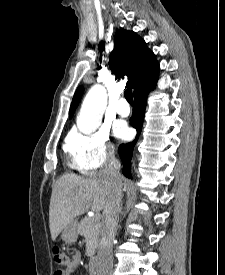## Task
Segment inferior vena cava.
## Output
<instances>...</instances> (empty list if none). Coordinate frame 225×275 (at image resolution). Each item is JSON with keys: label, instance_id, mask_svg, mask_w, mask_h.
<instances>
[{"label": "inferior vena cava", "instance_id": "1", "mask_svg": "<svg viewBox=\"0 0 225 275\" xmlns=\"http://www.w3.org/2000/svg\"><path fill=\"white\" fill-rule=\"evenodd\" d=\"M101 172L107 180L108 194L103 212L96 273L97 275H112V241L117 230V220L121 209L120 202L122 198L120 164L114 156V151L109 152L107 162Z\"/></svg>", "mask_w": 225, "mask_h": 275}]
</instances>
